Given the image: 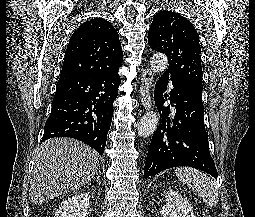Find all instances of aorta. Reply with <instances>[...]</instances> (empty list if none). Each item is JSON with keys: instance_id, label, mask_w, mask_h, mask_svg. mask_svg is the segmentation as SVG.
Wrapping results in <instances>:
<instances>
[{"instance_id": "762f6f07", "label": "aorta", "mask_w": 255, "mask_h": 217, "mask_svg": "<svg viewBox=\"0 0 255 217\" xmlns=\"http://www.w3.org/2000/svg\"><path fill=\"white\" fill-rule=\"evenodd\" d=\"M150 64L153 72H163L168 65V59L162 53H155L151 58ZM158 122L159 118L156 112L151 111L146 113L140 119L137 129L138 135L143 138L150 136L157 129Z\"/></svg>"}]
</instances>
